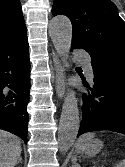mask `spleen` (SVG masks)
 Returning a JSON list of instances; mask_svg holds the SVG:
<instances>
[{
  "instance_id": "obj_1",
  "label": "spleen",
  "mask_w": 125,
  "mask_h": 167,
  "mask_svg": "<svg viewBox=\"0 0 125 167\" xmlns=\"http://www.w3.org/2000/svg\"><path fill=\"white\" fill-rule=\"evenodd\" d=\"M94 135H95L94 133H87L81 136L76 142V150L78 152H81V151L83 152L86 147V144L91 139H93ZM115 167H125V160H122L121 162L117 163Z\"/></svg>"
}]
</instances>
